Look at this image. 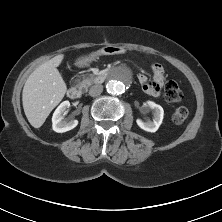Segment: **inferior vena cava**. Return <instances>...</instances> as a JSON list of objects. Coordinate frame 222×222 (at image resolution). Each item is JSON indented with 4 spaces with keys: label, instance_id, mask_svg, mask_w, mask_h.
<instances>
[{
    "label": "inferior vena cava",
    "instance_id": "602c4592",
    "mask_svg": "<svg viewBox=\"0 0 222 222\" xmlns=\"http://www.w3.org/2000/svg\"><path fill=\"white\" fill-rule=\"evenodd\" d=\"M102 91H103V86L100 84H96L90 87L89 95L95 97L100 95Z\"/></svg>",
    "mask_w": 222,
    "mask_h": 222
}]
</instances>
